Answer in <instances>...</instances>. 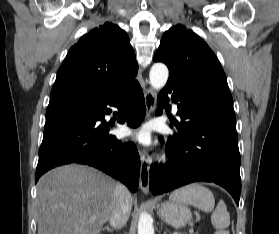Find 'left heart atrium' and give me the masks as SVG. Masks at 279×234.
Listing matches in <instances>:
<instances>
[{
	"mask_svg": "<svg viewBox=\"0 0 279 234\" xmlns=\"http://www.w3.org/2000/svg\"><path fill=\"white\" fill-rule=\"evenodd\" d=\"M130 134L142 144L151 143V132L148 126H142L134 131H131Z\"/></svg>",
	"mask_w": 279,
	"mask_h": 234,
	"instance_id": "obj_1",
	"label": "left heart atrium"
}]
</instances>
